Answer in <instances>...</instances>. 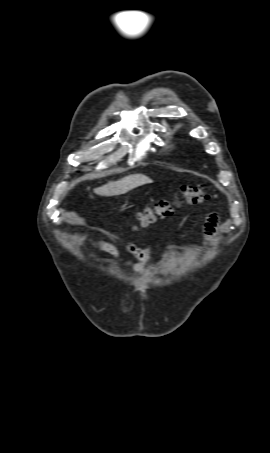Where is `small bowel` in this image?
Instances as JSON below:
<instances>
[{
  "instance_id": "small-bowel-1",
  "label": "small bowel",
  "mask_w": 270,
  "mask_h": 453,
  "mask_svg": "<svg viewBox=\"0 0 270 453\" xmlns=\"http://www.w3.org/2000/svg\"><path fill=\"white\" fill-rule=\"evenodd\" d=\"M218 223L219 219L216 213H211L206 218L203 227V247L215 236L218 228ZM87 242L92 247L103 250L113 257H121V251L115 245L109 242L98 239H89ZM126 251L131 256V258L125 260V265L134 273L138 275H144L146 272V266L151 257V250L149 248H138L133 244H129L126 248Z\"/></svg>"
}]
</instances>
